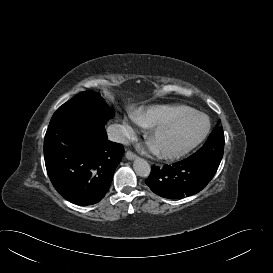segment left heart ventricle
<instances>
[{
	"mask_svg": "<svg viewBox=\"0 0 273 273\" xmlns=\"http://www.w3.org/2000/svg\"><path fill=\"white\" fill-rule=\"evenodd\" d=\"M206 120L196 116L182 124L157 133L153 142L157 149L165 151L180 150L196 140L204 131Z\"/></svg>",
	"mask_w": 273,
	"mask_h": 273,
	"instance_id": "1",
	"label": "left heart ventricle"
}]
</instances>
